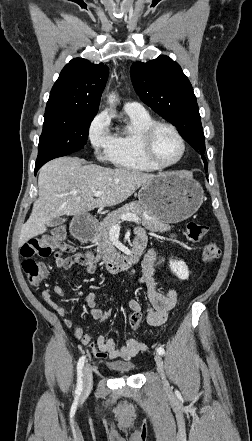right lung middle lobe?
I'll return each instance as SVG.
<instances>
[{"mask_svg":"<svg viewBox=\"0 0 252 441\" xmlns=\"http://www.w3.org/2000/svg\"><path fill=\"white\" fill-rule=\"evenodd\" d=\"M95 113L45 111L36 165L83 149Z\"/></svg>","mask_w":252,"mask_h":441,"instance_id":"obj_1","label":"right lung middle lobe"}]
</instances>
